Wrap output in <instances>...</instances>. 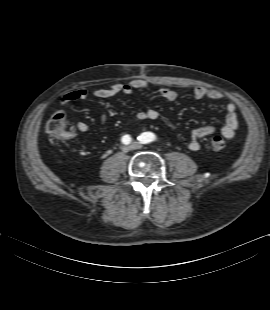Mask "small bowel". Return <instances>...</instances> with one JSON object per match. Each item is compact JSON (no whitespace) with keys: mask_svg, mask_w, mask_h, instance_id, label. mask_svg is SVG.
Masks as SVG:
<instances>
[{"mask_svg":"<svg viewBox=\"0 0 270 310\" xmlns=\"http://www.w3.org/2000/svg\"><path fill=\"white\" fill-rule=\"evenodd\" d=\"M148 88V84L142 79H134L128 84L115 83L106 88H96L92 91V95L98 99H107L120 94L130 96L135 90H145ZM157 96L166 101H175L178 97L177 93L170 89H159L156 92ZM89 92L85 88H78L64 94L61 98L62 104H68L75 101L84 100L88 97ZM193 96L196 99L208 98L214 101H219L224 98L223 94L217 90L208 89L203 86H197L193 90ZM225 117L223 125L221 126L220 132L226 138H233L238 129V119H237V107L235 103L228 102L224 105ZM159 117V113L156 109L150 108L141 111L137 114V118L140 121L145 120H156ZM99 120L102 124L107 123L108 115L102 113L99 116ZM77 131L86 133L91 130V127L83 122L79 121L75 124ZM216 132V128L210 125H205L193 129L190 133L188 140V148L192 151H197L200 149L199 140L212 135Z\"/></svg>","mask_w":270,"mask_h":310,"instance_id":"c3829d8e","label":"small bowel"}]
</instances>
